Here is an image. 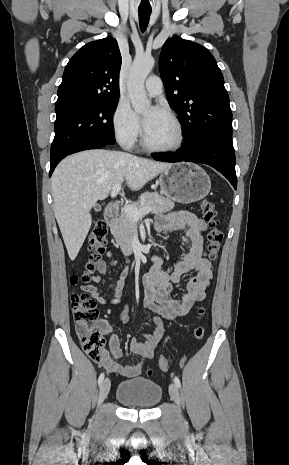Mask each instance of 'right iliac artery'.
<instances>
[{"instance_id": "right-iliac-artery-1", "label": "right iliac artery", "mask_w": 289, "mask_h": 465, "mask_svg": "<svg viewBox=\"0 0 289 465\" xmlns=\"http://www.w3.org/2000/svg\"><path fill=\"white\" fill-rule=\"evenodd\" d=\"M104 380V373H101L99 378H98V384L100 385Z\"/></svg>"}]
</instances>
